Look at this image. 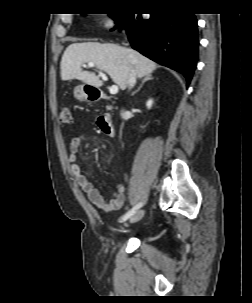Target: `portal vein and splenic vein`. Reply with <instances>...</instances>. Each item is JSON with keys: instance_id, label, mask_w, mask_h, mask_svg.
I'll list each match as a JSON object with an SVG mask.
<instances>
[{"instance_id": "portal-vein-and-splenic-vein-1", "label": "portal vein and splenic vein", "mask_w": 252, "mask_h": 303, "mask_svg": "<svg viewBox=\"0 0 252 303\" xmlns=\"http://www.w3.org/2000/svg\"><path fill=\"white\" fill-rule=\"evenodd\" d=\"M85 67H94V63H88L87 65H84ZM99 75L104 79V80H107L108 78H107V76L104 74V73H102V72H99ZM118 91H119V88H118V86L117 85H113L112 87H110V89H109V92H110V94H117L118 93Z\"/></svg>"}]
</instances>
